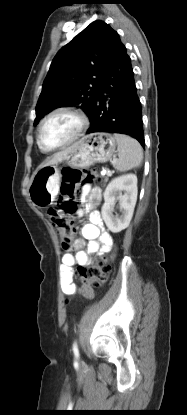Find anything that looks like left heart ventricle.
<instances>
[{
    "label": "left heart ventricle",
    "instance_id": "1",
    "mask_svg": "<svg viewBox=\"0 0 187 415\" xmlns=\"http://www.w3.org/2000/svg\"><path fill=\"white\" fill-rule=\"evenodd\" d=\"M79 126L78 119L69 113H58L47 120L41 138L47 146H58L73 137Z\"/></svg>",
    "mask_w": 187,
    "mask_h": 415
}]
</instances>
